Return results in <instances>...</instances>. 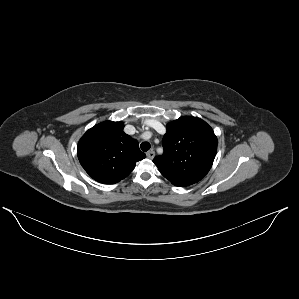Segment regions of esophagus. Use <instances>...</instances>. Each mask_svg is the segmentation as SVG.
I'll return each mask as SVG.
<instances>
[{"label":"esophagus","mask_w":299,"mask_h":299,"mask_svg":"<svg viewBox=\"0 0 299 299\" xmlns=\"http://www.w3.org/2000/svg\"><path fill=\"white\" fill-rule=\"evenodd\" d=\"M146 155L149 159H153L155 156V152L153 150H150L146 153Z\"/></svg>","instance_id":"34e87169"}]
</instances>
